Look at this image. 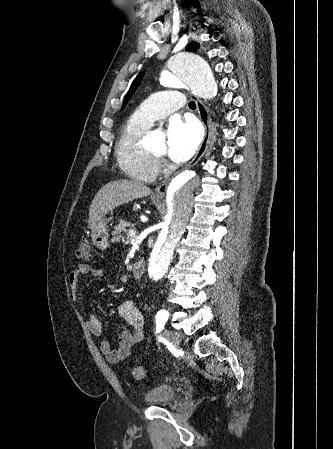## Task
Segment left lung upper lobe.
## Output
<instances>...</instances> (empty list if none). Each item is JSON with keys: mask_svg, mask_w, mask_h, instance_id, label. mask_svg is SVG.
Returning a JSON list of instances; mask_svg holds the SVG:
<instances>
[{"mask_svg": "<svg viewBox=\"0 0 333 449\" xmlns=\"http://www.w3.org/2000/svg\"><path fill=\"white\" fill-rule=\"evenodd\" d=\"M198 47H199V45H198L197 43L192 42V43H190V44L186 47V49H187L188 51H193V52H194V51H196V49H197ZM142 75H143V73L139 74V75L135 78V80L133 81V83H132V85H131V87H130L128 93H127L126 96H125L124 103H123V107L126 105L127 101L130 99L131 95H132V94L134 93V91L137 89V87H138V85H139V83H140V80H141V78H142Z\"/></svg>", "mask_w": 333, "mask_h": 449, "instance_id": "obj_1", "label": "left lung upper lobe"}]
</instances>
